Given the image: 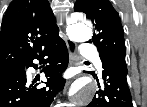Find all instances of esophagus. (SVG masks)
<instances>
[{
    "label": "esophagus",
    "mask_w": 147,
    "mask_h": 107,
    "mask_svg": "<svg viewBox=\"0 0 147 107\" xmlns=\"http://www.w3.org/2000/svg\"><path fill=\"white\" fill-rule=\"evenodd\" d=\"M68 51H69V56H70V62L71 64H74L77 60V44L76 42L66 38L65 39Z\"/></svg>",
    "instance_id": "obj_1"
}]
</instances>
